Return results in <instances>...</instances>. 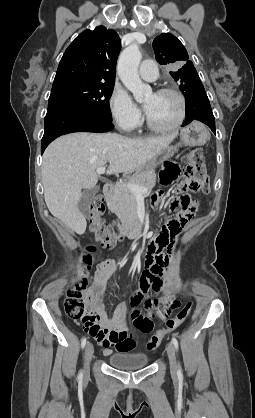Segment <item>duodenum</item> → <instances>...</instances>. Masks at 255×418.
I'll list each match as a JSON object with an SVG mask.
<instances>
[{
  "mask_svg": "<svg viewBox=\"0 0 255 418\" xmlns=\"http://www.w3.org/2000/svg\"><path fill=\"white\" fill-rule=\"evenodd\" d=\"M116 189L117 187L114 183L105 184L103 187L105 198L108 200L112 199L116 193ZM115 227L121 236L128 238H136L143 235L144 233L143 222L137 215H134L118 224H115Z\"/></svg>",
  "mask_w": 255,
  "mask_h": 418,
  "instance_id": "duodenum-1",
  "label": "duodenum"
}]
</instances>
